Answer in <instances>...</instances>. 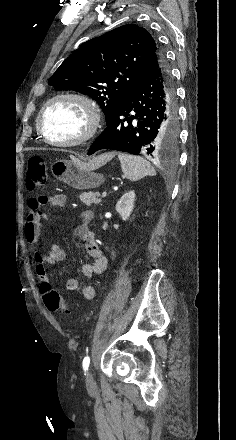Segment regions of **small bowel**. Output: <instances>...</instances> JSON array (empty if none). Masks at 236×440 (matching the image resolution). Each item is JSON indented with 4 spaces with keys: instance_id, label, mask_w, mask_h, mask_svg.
<instances>
[{
    "instance_id": "obj_1",
    "label": "small bowel",
    "mask_w": 236,
    "mask_h": 440,
    "mask_svg": "<svg viewBox=\"0 0 236 440\" xmlns=\"http://www.w3.org/2000/svg\"><path fill=\"white\" fill-rule=\"evenodd\" d=\"M67 203L65 195H55L52 197L36 196L29 201V211L27 213L24 236L32 245H39L42 242L41 233L44 228L43 221L47 218L46 208L63 207ZM92 219V212L82 211L80 222L73 233V240L76 243H82L86 252L93 258V262L86 263L81 268V274L87 279L101 274L107 267V257L100 249L95 235L89 230V223ZM66 258L65 250L58 244L51 243L46 251L34 252L35 271L39 277L40 287L47 283V267L64 261ZM79 288V281L76 278H70L66 281V291L72 292ZM84 300L91 301L95 297V289L87 285L82 289Z\"/></svg>"
}]
</instances>
